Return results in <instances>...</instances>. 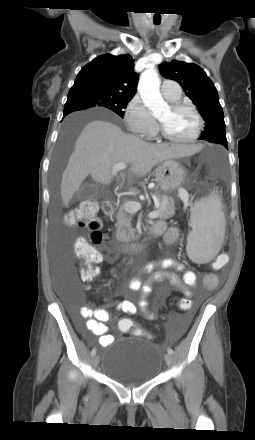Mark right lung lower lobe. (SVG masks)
Segmentation results:
<instances>
[{
	"label": "right lung lower lobe",
	"mask_w": 255,
	"mask_h": 440,
	"mask_svg": "<svg viewBox=\"0 0 255 440\" xmlns=\"http://www.w3.org/2000/svg\"><path fill=\"white\" fill-rule=\"evenodd\" d=\"M68 113H64L63 117H65Z\"/></svg>",
	"instance_id": "98d812e1"
}]
</instances>
